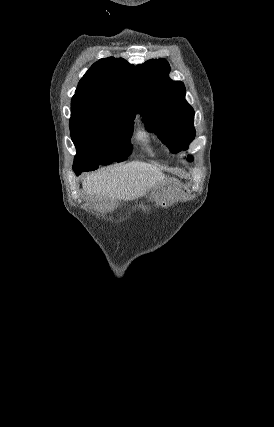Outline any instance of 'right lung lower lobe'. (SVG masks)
Listing matches in <instances>:
<instances>
[{"instance_id": "right-lung-lower-lobe-1", "label": "right lung lower lobe", "mask_w": 274, "mask_h": 427, "mask_svg": "<svg viewBox=\"0 0 274 427\" xmlns=\"http://www.w3.org/2000/svg\"><path fill=\"white\" fill-rule=\"evenodd\" d=\"M73 170L77 175H79L83 171H90V169L84 167H73Z\"/></svg>"}]
</instances>
